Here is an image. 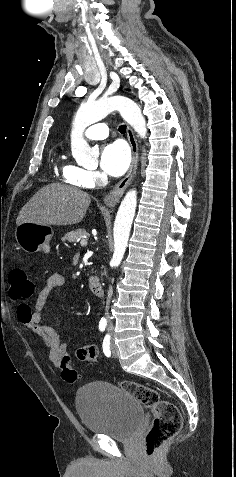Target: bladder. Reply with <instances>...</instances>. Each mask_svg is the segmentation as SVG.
<instances>
[{
    "label": "bladder",
    "mask_w": 236,
    "mask_h": 477,
    "mask_svg": "<svg viewBox=\"0 0 236 477\" xmlns=\"http://www.w3.org/2000/svg\"><path fill=\"white\" fill-rule=\"evenodd\" d=\"M75 403L87 431L115 440L134 437L144 419L142 403L121 387L107 382L83 386L76 394Z\"/></svg>",
    "instance_id": "31cf9c89"
}]
</instances>
